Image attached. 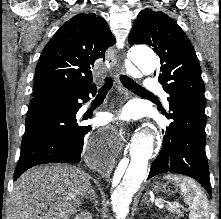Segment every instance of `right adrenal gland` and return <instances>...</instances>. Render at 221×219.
I'll use <instances>...</instances> for the list:
<instances>
[{"instance_id": "obj_1", "label": "right adrenal gland", "mask_w": 221, "mask_h": 219, "mask_svg": "<svg viewBox=\"0 0 221 219\" xmlns=\"http://www.w3.org/2000/svg\"><path fill=\"white\" fill-rule=\"evenodd\" d=\"M87 199H90V201H94L95 204L98 203V201L96 200L97 196L95 194L94 189H91L89 196L86 197Z\"/></svg>"}]
</instances>
